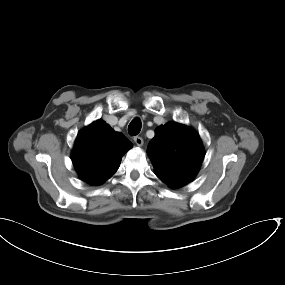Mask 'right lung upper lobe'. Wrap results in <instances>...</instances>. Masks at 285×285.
Listing matches in <instances>:
<instances>
[{
	"label": "right lung upper lobe",
	"mask_w": 285,
	"mask_h": 285,
	"mask_svg": "<svg viewBox=\"0 0 285 285\" xmlns=\"http://www.w3.org/2000/svg\"><path fill=\"white\" fill-rule=\"evenodd\" d=\"M132 143L99 119L79 132L72 152V162L80 178L90 185H100L118 169Z\"/></svg>",
	"instance_id": "cb5924a9"
}]
</instances>
